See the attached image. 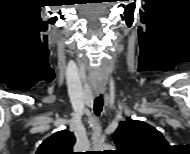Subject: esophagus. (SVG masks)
<instances>
[{
	"label": "esophagus",
	"instance_id": "1",
	"mask_svg": "<svg viewBox=\"0 0 190 154\" xmlns=\"http://www.w3.org/2000/svg\"><path fill=\"white\" fill-rule=\"evenodd\" d=\"M101 92H102L101 90H100V91H97L98 94H100Z\"/></svg>",
	"mask_w": 190,
	"mask_h": 154
}]
</instances>
